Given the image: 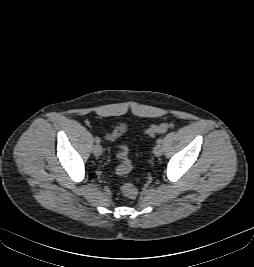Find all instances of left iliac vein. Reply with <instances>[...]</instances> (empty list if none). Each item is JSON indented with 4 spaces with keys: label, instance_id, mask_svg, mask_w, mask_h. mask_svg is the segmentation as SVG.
Returning a JSON list of instances; mask_svg holds the SVG:
<instances>
[{
    "label": "left iliac vein",
    "instance_id": "left-iliac-vein-1",
    "mask_svg": "<svg viewBox=\"0 0 254 267\" xmlns=\"http://www.w3.org/2000/svg\"><path fill=\"white\" fill-rule=\"evenodd\" d=\"M153 152H154L155 156H157V157L161 156L162 152H163L162 146L160 144L155 145Z\"/></svg>",
    "mask_w": 254,
    "mask_h": 267
}]
</instances>
